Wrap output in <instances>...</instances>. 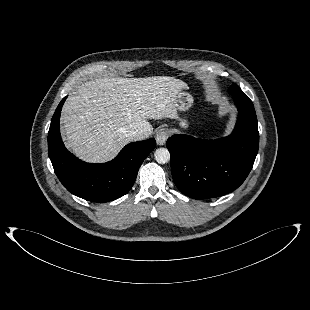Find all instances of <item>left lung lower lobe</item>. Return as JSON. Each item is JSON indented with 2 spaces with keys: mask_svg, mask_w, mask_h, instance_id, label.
<instances>
[{
  "mask_svg": "<svg viewBox=\"0 0 310 310\" xmlns=\"http://www.w3.org/2000/svg\"><path fill=\"white\" fill-rule=\"evenodd\" d=\"M238 120L233 132L216 140L173 135L166 146L178 189L194 199L225 195L238 188L254 164L259 145L257 118L244 93L233 95Z\"/></svg>",
  "mask_w": 310,
  "mask_h": 310,
  "instance_id": "0a47b994",
  "label": "left lung lower lobe"
}]
</instances>
